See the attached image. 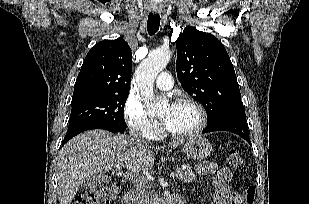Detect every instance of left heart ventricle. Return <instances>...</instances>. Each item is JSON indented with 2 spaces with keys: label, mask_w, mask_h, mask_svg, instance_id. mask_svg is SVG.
<instances>
[{
  "label": "left heart ventricle",
  "mask_w": 309,
  "mask_h": 204,
  "mask_svg": "<svg viewBox=\"0 0 309 204\" xmlns=\"http://www.w3.org/2000/svg\"><path fill=\"white\" fill-rule=\"evenodd\" d=\"M160 117L167 129L176 133L188 132L199 122L197 110L189 105H172L165 107Z\"/></svg>",
  "instance_id": "b2bd125f"
}]
</instances>
